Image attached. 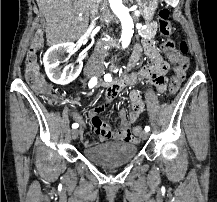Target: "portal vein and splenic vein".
Segmentation results:
<instances>
[{
  "instance_id": "obj_1",
  "label": "portal vein and splenic vein",
  "mask_w": 217,
  "mask_h": 202,
  "mask_svg": "<svg viewBox=\"0 0 217 202\" xmlns=\"http://www.w3.org/2000/svg\"><path fill=\"white\" fill-rule=\"evenodd\" d=\"M78 20H82V18H80V16H79Z\"/></svg>"
}]
</instances>
